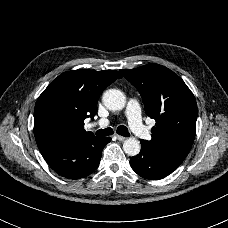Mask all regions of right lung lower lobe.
<instances>
[{
	"mask_svg": "<svg viewBox=\"0 0 228 228\" xmlns=\"http://www.w3.org/2000/svg\"><path fill=\"white\" fill-rule=\"evenodd\" d=\"M110 141V137L90 136L42 153V155L59 175L69 179H80L96 170L102 150Z\"/></svg>",
	"mask_w": 228,
	"mask_h": 228,
	"instance_id": "obj_1",
	"label": "right lung lower lobe"
}]
</instances>
